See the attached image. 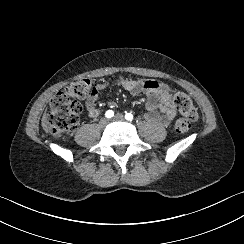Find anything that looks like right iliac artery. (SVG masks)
Instances as JSON below:
<instances>
[{
	"label": "right iliac artery",
	"mask_w": 244,
	"mask_h": 244,
	"mask_svg": "<svg viewBox=\"0 0 244 244\" xmlns=\"http://www.w3.org/2000/svg\"><path fill=\"white\" fill-rule=\"evenodd\" d=\"M105 116H106L107 118H111V117L114 116V112H113L112 110H108V111L105 113Z\"/></svg>",
	"instance_id": "obj_1"
}]
</instances>
